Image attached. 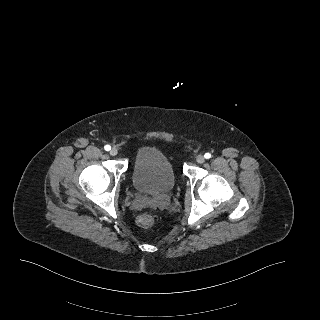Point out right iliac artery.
<instances>
[{
  "mask_svg": "<svg viewBox=\"0 0 320 320\" xmlns=\"http://www.w3.org/2000/svg\"><path fill=\"white\" fill-rule=\"evenodd\" d=\"M104 149H105L106 151H109V150L111 149V147H110L109 145H105Z\"/></svg>",
  "mask_w": 320,
  "mask_h": 320,
  "instance_id": "1",
  "label": "right iliac artery"
}]
</instances>
